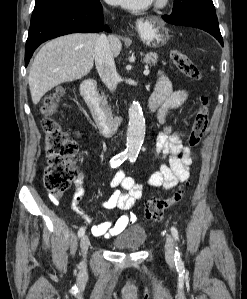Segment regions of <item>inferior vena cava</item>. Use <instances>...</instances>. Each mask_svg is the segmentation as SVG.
<instances>
[{
	"label": "inferior vena cava",
	"instance_id": "inferior-vena-cava-1",
	"mask_svg": "<svg viewBox=\"0 0 247 299\" xmlns=\"http://www.w3.org/2000/svg\"><path fill=\"white\" fill-rule=\"evenodd\" d=\"M95 64L97 72L110 91H115L119 83L114 57L110 49L109 39L101 34L95 45Z\"/></svg>",
	"mask_w": 247,
	"mask_h": 299
}]
</instances>
